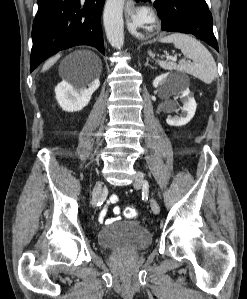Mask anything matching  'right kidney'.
<instances>
[{"label":"right kidney","mask_w":247,"mask_h":299,"mask_svg":"<svg viewBox=\"0 0 247 299\" xmlns=\"http://www.w3.org/2000/svg\"><path fill=\"white\" fill-rule=\"evenodd\" d=\"M99 86V78H95L87 86H73L62 81L55 87L56 100L64 111H80L89 104L92 94Z\"/></svg>","instance_id":"right-kidney-1"}]
</instances>
